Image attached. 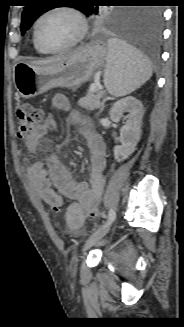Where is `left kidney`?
<instances>
[{
	"instance_id": "obj_1",
	"label": "left kidney",
	"mask_w": 184,
	"mask_h": 327,
	"mask_svg": "<svg viewBox=\"0 0 184 327\" xmlns=\"http://www.w3.org/2000/svg\"><path fill=\"white\" fill-rule=\"evenodd\" d=\"M125 112H128L127 116L123 115ZM143 115L141 101L133 96L118 100L111 108L110 118L114 122H119L122 117L126 120L120 131L121 145L114 147V157L118 162L124 161L135 151L141 137Z\"/></svg>"
}]
</instances>
